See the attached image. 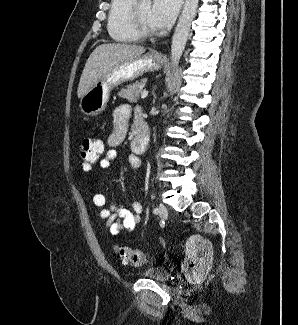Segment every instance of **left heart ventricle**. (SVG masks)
Listing matches in <instances>:
<instances>
[{"instance_id":"obj_1","label":"left heart ventricle","mask_w":298,"mask_h":325,"mask_svg":"<svg viewBox=\"0 0 298 325\" xmlns=\"http://www.w3.org/2000/svg\"><path fill=\"white\" fill-rule=\"evenodd\" d=\"M139 18L143 27L151 32H160L161 29L156 25L152 16V3L143 1L139 7Z\"/></svg>"}]
</instances>
